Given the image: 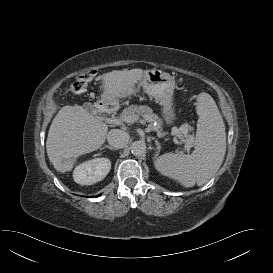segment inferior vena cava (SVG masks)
<instances>
[{
	"mask_svg": "<svg viewBox=\"0 0 273 273\" xmlns=\"http://www.w3.org/2000/svg\"><path fill=\"white\" fill-rule=\"evenodd\" d=\"M129 134L120 129H112L107 134L109 144L117 149L124 148L129 141Z\"/></svg>",
	"mask_w": 273,
	"mask_h": 273,
	"instance_id": "1",
	"label": "inferior vena cava"
}]
</instances>
